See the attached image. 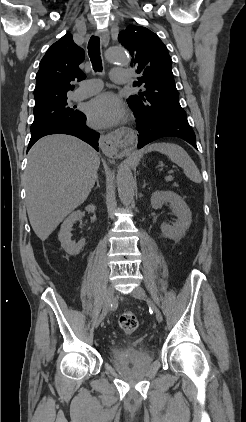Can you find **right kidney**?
Masks as SVG:
<instances>
[{
    "mask_svg": "<svg viewBox=\"0 0 246 422\" xmlns=\"http://www.w3.org/2000/svg\"><path fill=\"white\" fill-rule=\"evenodd\" d=\"M86 210L88 212H94L96 210V207L91 204L86 207ZM81 218V211H75L70 214L61 225V229L58 235L62 248L67 254L72 256L78 255L85 245V239H81L78 243L71 241V230L73 224Z\"/></svg>",
    "mask_w": 246,
    "mask_h": 422,
    "instance_id": "obj_1",
    "label": "right kidney"
}]
</instances>
